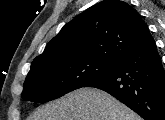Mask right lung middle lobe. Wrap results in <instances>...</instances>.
<instances>
[{"label": "right lung middle lobe", "mask_w": 165, "mask_h": 120, "mask_svg": "<svg viewBox=\"0 0 165 120\" xmlns=\"http://www.w3.org/2000/svg\"><path fill=\"white\" fill-rule=\"evenodd\" d=\"M116 63L92 58H73L31 67L23 86L24 101L45 103L99 79Z\"/></svg>", "instance_id": "obj_1"}]
</instances>
